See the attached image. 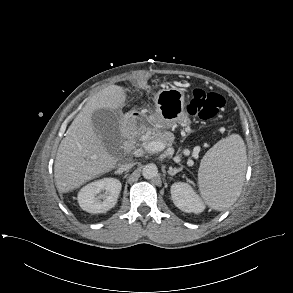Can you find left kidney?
Here are the masks:
<instances>
[{"mask_svg":"<svg viewBox=\"0 0 293 293\" xmlns=\"http://www.w3.org/2000/svg\"><path fill=\"white\" fill-rule=\"evenodd\" d=\"M171 198L177 208L187 213H201L205 209L203 201L188 183H174Z\"/></svg>","mask_w":293,"mask_h":293,"instance_id":"obj_1","label":"left kidney"}]
</instances>
